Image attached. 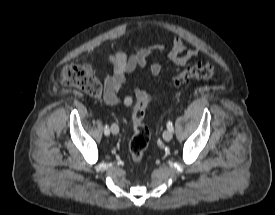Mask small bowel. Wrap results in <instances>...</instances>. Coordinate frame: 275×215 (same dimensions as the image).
<instances>
[{
    "mask_svg": "<svg viewBox=\"0 0 275 215\" xmlns=\"http://www.w3.org/2000/svg\"><path fill=\"white\" fill-rule=\"evenodd\" d=\"M162 54H164V49L158 45L148 48L136 47L129 57L122 51L114 52L109 58L112 73L104 79L103 99L105 103L115 106L121 97L123 103L131 107L134 102L133 98L129 95H121L127 76L134 73L137 68L146 67H148L153 76L159 75L162 69L161 64L159 62L149 64V59ZM199 54L200 49L198 47L186 48L184 42L179 37L174 36L172 39V48L167 56L174 65L182 66ZM149 97L150 94L147 91L143 89L135 90L136 100L140 101Z\"/></svg>",
    "mask_w": 275,
    "mask_h": 215,
    "instance_id": "1",
    "label": "small bowel"
}]
</instances>
